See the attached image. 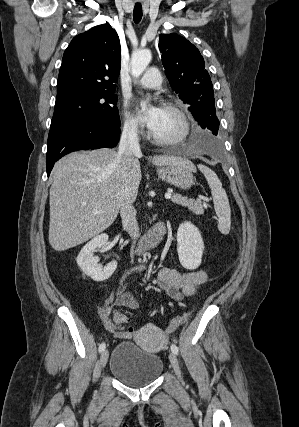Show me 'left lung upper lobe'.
Masks as SVG:
<instances>
[{
    "instance_id": "left-lung-upper-lobe-1",
    "label": "left lung upper lobe",
    "mask_w": 299,
    "mask_h": 427,
    "mask_svg": "<svg viewBox=\"0 0 299 427\" xmlns=\"http://www.w3.org/2000/svg\"><path fill=\"white\" fill-rule=\"evenodd\" d=\"M159 38L162 64L172 89L184 103L190 105L189 110L195 120L205 118L207 130L217 135L219 120L214 91L202 55L192 43L178 34H160Z\"/></svg>"
}]
</instances>
